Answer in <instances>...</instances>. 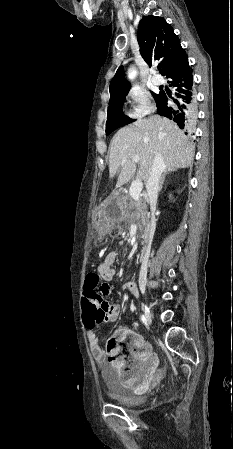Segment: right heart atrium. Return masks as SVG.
Returning a JSON list of instances; mask_svg holds the SVG:
<instances>
[{"mask_svg":"<svg viewBox=\"0 0 233 449\" xmlns=\"http://www.w3.org/2000/svg\"><path fill=\"white\" fill-rule=\"evenodd\" d=\"M127 97L130 101V116L134 119H141L149 115L154 110V104L150 94L141 87L134 86L129 89Z\"/></svg>","mask_w":233,"mask_h":449,"instance_id":"d8ad5b80","label":"right heart atrium"}]
</instances>
